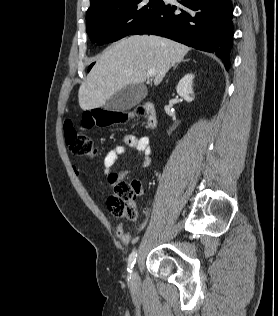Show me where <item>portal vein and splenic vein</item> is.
Segmentation results:
<instances>
[{
	"label": "portal vein and splenic vein",
	"mask_w": 278,
	"mask_h": 316,
	"mask_svg": "<svg viewBox=\"0 0 278 316\" xmlns=\"http://www.w3.org/2000/svg\"><path fill=\"white\" fill-rule=\"evenodd\" d=\"M155 74H156V71H155L154 69H150V70H148V72H147V75H148L149 77H154Z\"/></svg>",
	"instance_id": "1"
}]
</instances>
